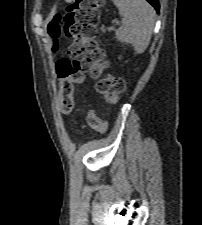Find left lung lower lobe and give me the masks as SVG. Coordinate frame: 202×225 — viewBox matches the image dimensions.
I'll return each instance as SVG.
<instances>
[{"instance_id": "left-lung-lower-lobe-1", "label": "left lung lower lobe", "mask_w": 202, "mask_h": 225, "mask_svg": "<svg viewBox=\"0 0 202 225\" xmlns=\"http://www.w3.org/2000/svg\"><path fill=\"white\" fill-rule=\"evenodd\" d=\"M158 12L159 11V1L158 0H147Z\"/></svg>"}]
</instances>
